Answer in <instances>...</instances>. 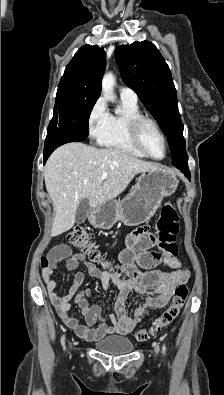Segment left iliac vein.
<instances>
[{
	"label": "left iliac vein",
	"mask_w": 224,
	"mask_h": 395,
	"mask_svg": "<svg viewBox=\"0 0 224 395\" xmlns=\"http://www.w3.org/2000/svg\"><path fill=\"white\" fill-rule=\"evenodd\" d=\"M154 350H155V353L158 354V352H159V345L157 343H155V345H154Z\"/></svg>",
	"instance_id": "obj_1"
}]
</instances>
